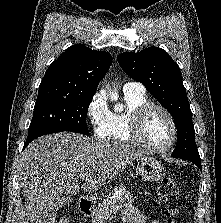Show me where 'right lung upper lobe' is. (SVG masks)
Listing matches in <instances>:
<instances>
[{
	"instance_id": "obj_1",
	"label": "right lung upper lobe",
	"mask_w": 221,
	"mask_h": 223,
	"mask_svg": "<svg viewBox=\"0 0 221 223\" xmlns=\"http://www.w3.org/2000/svg\"><path fill=\"white\" fill-rule=\"evenodd\" d=\"M111 64V55L76 44L47 69L37 100L76 95H94Z\"/></svg>"
}]
</instances>
